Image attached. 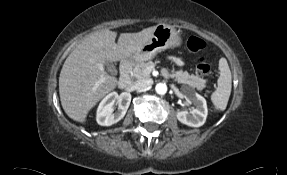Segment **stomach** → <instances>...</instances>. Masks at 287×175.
Returning a JSON list of instances; mask_svg holds the SVG:
<instances>
[{
    "label": "stomach",
    "mask_w": 287,
    "mask_h": 175,
    "mask_svg": "<svg viewBox=\"0 0 287 175\" xmlns=\"http://www.w3.org/2000/svg\"><path fill=\"white\" fill-rule=\"evenodd\" d=\"M181 45V37L173 26L158 24L150 40L133 54L132 59L142 62L153 58L157 53Z\"/></svg>",
    "instance_id": "stomach-1"
}]
</instances>
